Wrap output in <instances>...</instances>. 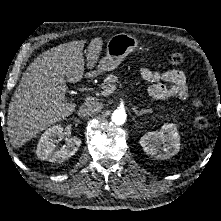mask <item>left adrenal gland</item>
I'll use <instances>...</instances> for the list:
<instances>
[{
	"instance_id": "obj_1",
	"label": "left adrenal gland",
	"mask_w": 221,
	"mask_h": 221,
	"mask_svg": "<svg viewBox=\"0 0 221 221\" xmlns=\"http://www.w3.org/2000/svg\"><path fill=\"white\" fill-rule=\"evenodd\" d=\"M133 111L137 116H141L143 114L152 112V109H141L140 111H138L134 108Z\"/></svg>"
}]
</instances>
